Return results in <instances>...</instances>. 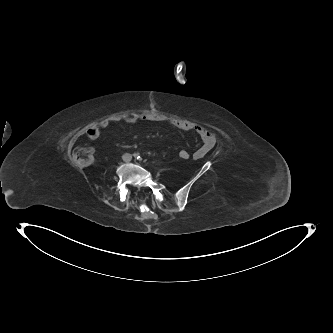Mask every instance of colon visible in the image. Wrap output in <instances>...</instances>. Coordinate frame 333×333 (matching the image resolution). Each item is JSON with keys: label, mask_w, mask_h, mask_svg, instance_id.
<instances>
[{"label": "colon", "mask_w": 333, "mask_h": 333, "mask_svg": "<svg viewBox=\"0 0 333 333\" xmlns=\"http://www.w3.org/2000/svg\"><path fill=\"white\" fill-rule=\"evenodd\" d=\"M190 157L191 153L184 148H181L177 153L178 159L188 160ZM73 160L76 165L87 167L91 165L94 160V152L88 147H78L73 152Z\"/></svg>", "instance_id": "colon-1"}]
</instances>
